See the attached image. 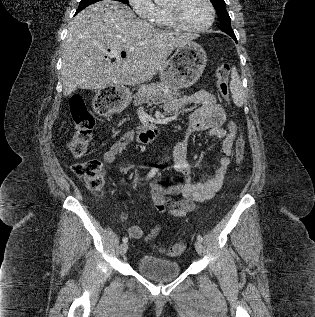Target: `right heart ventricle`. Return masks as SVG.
Segmentation results:
<instances>
[{
  "mask_svg": "<svg viewBox=\"0 0 315 317\" xmlns=\"http://www.w3.org/2000/svg\"><path fill=\"white\" fill-rule=\"evenodd\" d=\"M151 22L158 27H163V28L172 27L167 19L164 7H161V6L157 7L155 16Z\"/></svg>",
  "mask_w": 315,
  "mask_h": 317,
  "instance_id": "right-heart-ventricle-1",
  "label": "right heart ventricle"
}]
</instances>
